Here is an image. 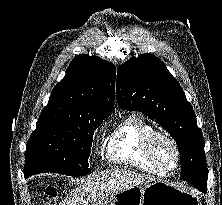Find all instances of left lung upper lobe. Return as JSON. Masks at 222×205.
<instances>
[{
	"label": "left lung upper lobe",
	"instance_id": "5c2ea615",
	"mask_svg": "<svg viewBox=\"0 0 222 205\" xmlns=\"http://www.w3.org/2000/svg\"><path fill=\"white\" fill-rule=\"evenodd\" d=\"M117 103L155 119L176 141L180 155L196 157L199 168L191 176L207 185L204 139L191 104L164 63L150 53L132 57L117 73ZM186 175L181 171V179ZM186 180V179H185Z\"/></svg>",
	"mask_w": 222,
	"mask_h": 205
}]
</instances>
